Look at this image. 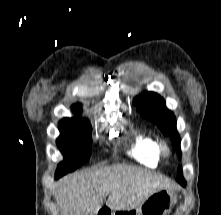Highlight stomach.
<instances>
[{"instance_id": "obj_1", "label": "stomach", "mask_w": 221, "mask_h": 215, "mask_svg": "<svg viewBox=\"0 0 221 215\" xmlns=\"http://www.w3.org/2000/svg\"><path fill=\"white\" fill-rule=\"evenodd\" d=\"M177 196L172 189L158 190L138 207L129 210H116L113 215H167L176 203Z\"/></svg>"}]
</instances>
